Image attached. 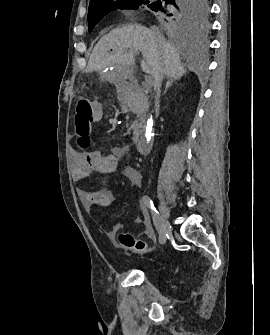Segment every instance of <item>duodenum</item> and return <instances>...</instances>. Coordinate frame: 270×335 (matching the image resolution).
<instances>
[{
	"label": "duodenum",
	"mask_w": 270,
	"mask_h": 335,
	"mask_svg": "<svg viewBox=\"0 0 270 335\" xmlns=\"http://www.w3.org/2000/svg\"><path fill=\"white\" fill-rule=\"evenodd\" d=\"M122 107L126 111L139 113L143 116L149 111L148 97L141 86L132 81H125L120 84ZM152 135L145 131L137 140V150L141 154H148L152 147Z\"/></svg>",
	"instance_id": "1"
}]
</instances>
